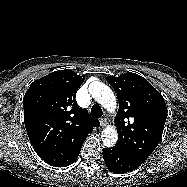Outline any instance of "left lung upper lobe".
<instances>
[{
  "label": "left lung upper lobe",
  "mask_w": 187,
  "mask_h": 187,
  "mask_svg": "<svg viewBox=\"0 0 187 187\" xmlns=\"http://www.w3.org/2000/svg\"><path fill=\"white\" fill-rule=\"evenodd\" d=\"M107 80L116 90L119 103L115 146L146 160L162 137L167 118L164 98L145 78L135 73L108 76Z\"/></svg>",
  "instance_id": "obj_1"
}]
</instances>
